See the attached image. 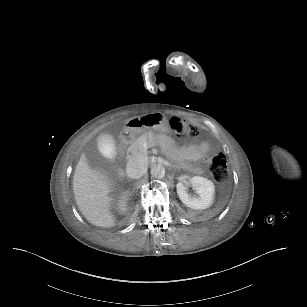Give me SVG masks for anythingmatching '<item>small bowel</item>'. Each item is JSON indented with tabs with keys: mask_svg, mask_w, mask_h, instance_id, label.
I'll return each mask as SVG.
<instances>
[{
	"mask_svg": "<svg viewBox=\"0 0 307 307\" xmlns=\"http://www.w3.org/2000/svg\"><path fill=\"white\" fill-rule=\"evenodd\" d=\"M188 152L195 160H205L209 154V145L206 142L191 144L188 147Z\"/></svg>",
	"mask_w": 307,
	"mask_h": 307,
	"instance_id": "obj_1",
	"label": "small bowel"
}]
</instances>
